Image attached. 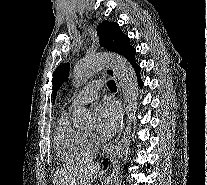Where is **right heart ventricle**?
Returning <instances> with one entry per match:
<instances>
[{
    "instance_id": "obj_1",
    "label": "right heart ventricle",
    "mask_w": 207,
    "mask_h": 185,
    "mask_svg": "<svg viewBox=\"0 0 207 185\" xmlns=\"http://www.w3.org/2000/svg\"><path fill=\"white\" fill-rule=\"evenodd\" d=\"M55 142L59 155L70 164L91 162L95 159L98 150L92 137L71 124L67 112L59 119Z\"/></svg>"
}]
</instances>
